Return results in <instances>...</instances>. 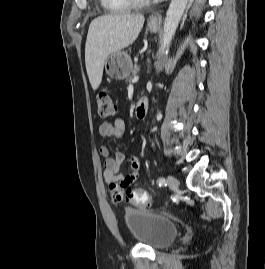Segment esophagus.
<instances>
[{"mask_svg":"<svg viewBox=\"0 0 265 269\" xmlns=\"http://www.w3.org/2000/svg\"><path fill=\"white\" fill-rule=\"evenodd\" d=\"M160 19H161V17L159 15H152L149 18V21L152 22V23H157Z\"/></svg>","mask_w":265,"mask_h":269,"instance_id":"esophagus-1","label":"esophagus"}]
</instances>
